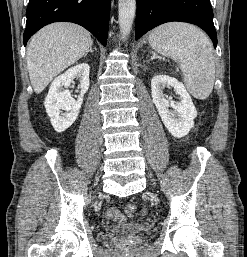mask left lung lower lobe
Segmentation results:
<instances>
[{"instance_id": "left-lung-lower-lobe-1", "label": "left lung lower lobe", "mask_w": 247, "mask_h": 257, "mask_svg": "<svg viewBox=\"0 0 247 257\" xmlns=\"http://www.w3.org/2000/svg\"><path fill=\"white\" fill-rule=\"evenodd\" d=\"M171 21L195 24L217 46L210 0H137L135 40L154 27Z\"/></svg>"}]
</instances>
